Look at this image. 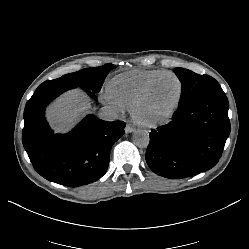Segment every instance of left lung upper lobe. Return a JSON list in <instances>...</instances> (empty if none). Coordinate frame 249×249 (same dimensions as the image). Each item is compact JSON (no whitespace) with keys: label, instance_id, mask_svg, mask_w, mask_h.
<instances>
[{"label":"left lung upper lobe","instance_id":"5c2ea615","mask_svg":"<svg viewBox=\"0 0 249 249\" xmlns=\"http://www.w3.org/2000/svg\"><path fill=\"white\" fill-rule=\"evenodd\" d=\"M174 72L182 82L179 106L207 93L223 92L219 83L211 76L199 75L184 68H175Z\"/></svg>","mask_w":249,"mask_h":249}]
</instances>
